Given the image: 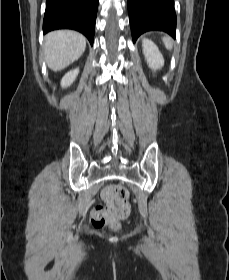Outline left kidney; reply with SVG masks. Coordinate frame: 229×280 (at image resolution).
<instances>
[{
    "label": "left kidney",
    "instance_id": "obj_1",
    "mask_svg": "<svg viewBox=\"0 0 229 280\" xmlns=\"http://www.w3.org/2000/svg\"><path fill=\"white\" fill-rule=\"evenodd\" d=\"M142 47L144 56L151 69L155 71L164 65V58L155 43L149 39H143Z\"/></svg>",
    "mask_w": 229,
    "mask_h": 280
}]
</instances>
